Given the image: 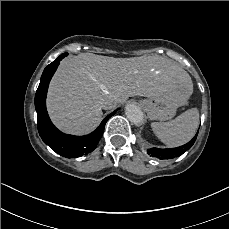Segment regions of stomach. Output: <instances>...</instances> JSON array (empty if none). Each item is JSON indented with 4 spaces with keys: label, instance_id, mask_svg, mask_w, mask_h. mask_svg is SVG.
<instances>
[{
    "label": "stomach",
    "instance_id": "0dacf381",
    "mask_svg": "<svg viewBox=\"0 0 229 229\" xmlns=\"http://www.w3.org/2000/svg\"><path fill=\"white\" fill-rule=\"evenodd\" d=\"M192 90L187 93L164 94L158 97L140 99L139 107L153 121H168L176 115L177 107L184 105L191 96Z\"/></svg>",
    "mask_w": 229,
    "mask_h": 229
}]
</instances>
